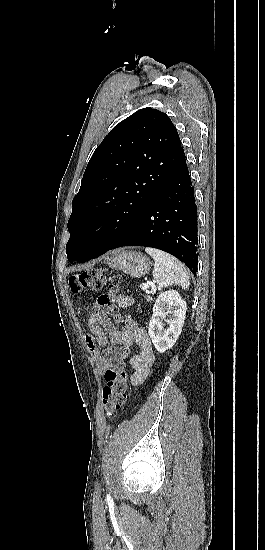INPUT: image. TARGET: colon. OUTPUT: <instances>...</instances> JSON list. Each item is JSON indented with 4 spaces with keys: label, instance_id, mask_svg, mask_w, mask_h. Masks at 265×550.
Returning <instances> with one entry per match:
<instances>
[{
    "label": "colon",
    "instance_id": "obj_1",
    "mask_svg": "<svg viewBox=\"0 0 265 550\" xmlns=\"http://www.w3.org/2000/svg\"><path fill=\"white\" fill-rule=\"evenodd\" d=\"M105 276L98 268H91L75 273L70 277L69 283L74 293L83 291H98L105 283ZM121 277L113 276L110 291L101 294L96 299L99 306L105 307L107 312L118 318V311L114 304V293L120 286ZM106 385L102 390L101 403L107 415L123 407L127 399L128 373L125 365L116 368H108L105 372Z\"/></svg>",
    "mask_w": 265,
    "mask_h": 550
}]
</instances>
